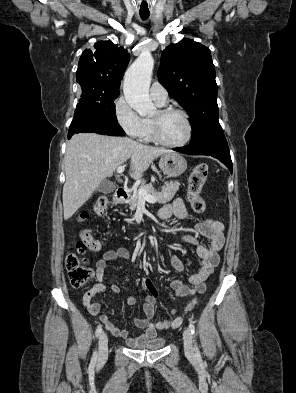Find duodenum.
<instances>
[{
    "instance_id": "410a0bca",
    "label": "duodenum",
    "mask_w": 296,
    "mask_h": 393,
    "mask_svg": "<svg viewBox=\"0 0 296 393\" xmlns=\"http://www.w3.org/2000/svg\"><path fill=\"white\" fill-rule=\"evenodd\" d=\"M128 197V192L124 188H117L114 194V200L116 202L125 201Z\"/></svg>"
}]
</instances>
